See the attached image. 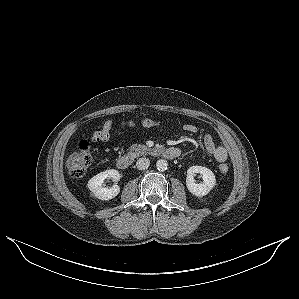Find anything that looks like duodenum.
<instances>
[{
	"label": "duodenum",
	"instance_id": "1",
	"mask_svg": "<svg viewBox=\"0 0 299 299\" xmlns=\"http://www.w3.org/2000/svg\"><path fill=\"white\" fill-rule=\"evenodd\" d=\"M162 156L167 159H175L180 156L181 151L175 147L164 148L161 150ZM133 163V157L129 154L122 155L117 159V166L120 169H127Z\"/></svg>",
	"mask_w": 299,
	"mask_h": 299
}]
</instances>
